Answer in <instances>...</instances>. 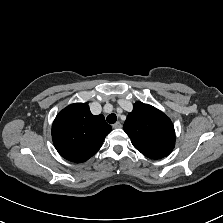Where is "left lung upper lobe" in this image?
Segmentation results:
<instances>
[{"label": "left lung upper lobe", "instance_id": "left-lung-upper-lobe-1", "mask_svg": "<svg viewBox=\"0 0 223 223\" xmlns=\"http://www.w3.org/2000/svg\"><path fill=\"white\" fill-rule=\"evenodd\" d=\"M123 129L133 146L148 158H163L174 148L175 131L171 120L151 105L135 103Z\"/></svg>", "mask_w": 223, "mask_h": 223}]
</instances>
